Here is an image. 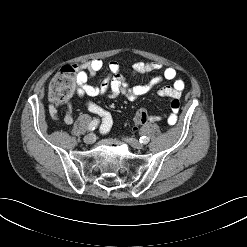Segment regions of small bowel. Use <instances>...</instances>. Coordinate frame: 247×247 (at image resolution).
Segmentation results:
<instances>
[{
  "instance_id": "small-bowel-1",
  "label": "small bowel",
  "mask_w": 247,
  "mask_h": 247,
  "mask_svg": "<svg viewBox=\"0 0 247 247\" xmlns=\"http://www.w3.org/2000/svg\"><path fill=\"white\" fill-rule=\"evenodd\" d=\"M106 67L107 74L99 85L90 84V79ZM77 69V94L84 101V106L88 111L98 115L101 118L102 133L106 134L112 127L113 119L111 113L100 105L92 102L90 98L109 93L110 98H116L124 95L128 100L133 101L140 96L148 94L157 84L163 80H173L172 86H164L157 89L156 94L162 98L170 100L171 114L168 116V122L173 123L176 120L178 109L172 108V102L179 100L185 88L184 80L179 77L178 70L175 67H166L160 74L154 76L148 83L132 86L127 77L121 74L120 65L112 60L107 65L101 59H92L90 61L75 65ZM162 65L158 62H136L132 65L131 75H140L153 73L161 70ZM66 113L62 120L65 124H72L74 121L73 105L66 104ZM50 113L57 118L55 107L50 108Z\"/></svg>"
}]
</instances>
